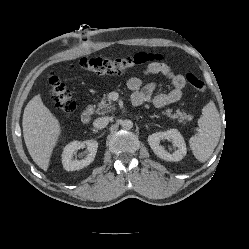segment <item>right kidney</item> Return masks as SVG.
<instances>
[{"label":"right kidney","mask_w":249,"mask_h":249,"mask_svg":"<svg viewBox=\"0 0 249 249\" xmlns=\"http://www.w3.org/2000/svg\"><path fill=\"white\" fill-rule=\"evenodd\" d=\"M87 149V155L81 160L73 159V154L79 149ZM98 143L94 140L73 141L65 146L62 153L63 167L67 171H75L88 166L95 158L97 153Z\"/></svg>","instance_id":"obj_1"}]
</instances>
